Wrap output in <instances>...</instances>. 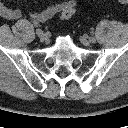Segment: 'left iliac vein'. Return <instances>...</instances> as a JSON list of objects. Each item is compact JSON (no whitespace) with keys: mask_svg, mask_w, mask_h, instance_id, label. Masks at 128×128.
Instances as JSON below:
<instances>
[{"mask_svg":"<svg viewBox=\"0 0 128 128\" xmlns=\"http://www.w3.org/2000/svg\"><path fill=\"white\" fill-rule=\"evenodd\" d=\"M80 41L85 46H89L90 43L92 42V41H90V39H88L87 37H84V36L80 38Z\"/></svg>","mask_w":128,"mask_h":128,"instance_id":"1","label":"left iliac vein"}]
</instances>
